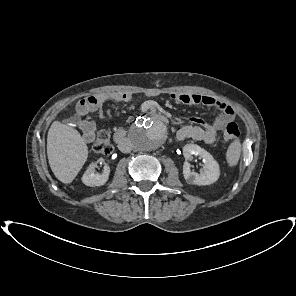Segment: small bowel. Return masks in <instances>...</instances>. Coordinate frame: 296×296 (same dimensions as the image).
Here are the masks:
<instances>
[{
	"label": "small bowel",
	"mask_w": 296,
	"mask_h": 296,
	"mask_svg": "<svg viewBox=\"0 0 296 296\" xmlns=\"http://www.w3.org/2000/svg\"><path fill=\"white\" fill-rule=\"evenodd\" d=\"M171 98L183 105H205L219 110V115L210 122L200 118H191V123L184 125L177 132V139L185 141L188 139L211 144L216 140L217 133L222 130L229 122L236 118L234 109L227 103L217 100L213 97L194 94V93H173ZM131 95L125 92H107L83 99L77 105V114L81 117L91 112L104 114V105L110 102H127ZM78 127L82 132L85 142L91 143L96 134V125L93 121L79 119Z\"/></svg>",
	"instance_id": "1"
}]
</instances>
